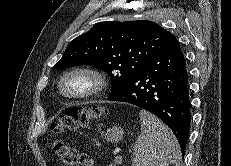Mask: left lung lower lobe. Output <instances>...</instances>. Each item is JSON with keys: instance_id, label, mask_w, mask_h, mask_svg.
I'll return each mask as SVG.
<instances>
[{"instance_id": "left-lung-lower-lobe-1", "label": "left lung lower lobe", "mask_w": 231, "mask_h": 166, "mask_svg": "<svg viewBox=\"0 0 231 166\" xmlns=\"http://www.w3.org/2000/svg\"><path fill=\"white\" fill-rule=\"evenodd\" d=\"M108 100L139 106L166 123L185 154L191 122L186 61L175 36Z\"/></svg>"}]
</instances>
